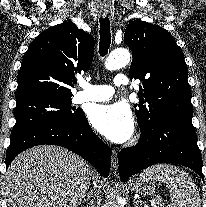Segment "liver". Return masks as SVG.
I'll use <instances>...</instances> for the list:
<instances>
[{"label":"liver","instance_id":"obj_1","mask_svg":"<svg viewBox=\"0 0 206 207\" xmlns=\"http://www.w3.org/2000/svg\"><path fill=\"white\" fill-rule=\"evenodd\" d=\"M91 179L100 191L104 183L84 159L58 146L41 145L13 160L4 190L9 207H78Z\"/></svg>","mask_w":206,"mask_h":207}]
</instances>
